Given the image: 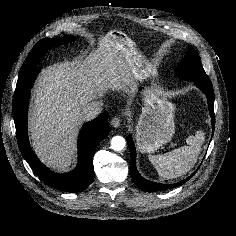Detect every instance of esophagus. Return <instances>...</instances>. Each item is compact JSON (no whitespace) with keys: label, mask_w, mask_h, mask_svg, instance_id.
Listing matches in <instances>:
<instances>
[{"label":"esophagus","mask_w":236,"mask_h":236,"mask_svg":"<svg viewBox=\"0 0 236 236\" xmlns=\"http://www.w3.org/2000/svg\"><path fill=\"white\" fill-rule=\"evenodd\" d=\"M120 123H121V120L119 117H113L112 120H111V125L112 127L114 128H118L120 126Z\"/></svg>","instance_id":"34e87169"}]
</instances>
